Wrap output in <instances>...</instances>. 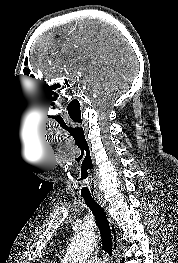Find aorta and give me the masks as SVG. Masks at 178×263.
I'll return each mask as SVG.
<instances>
[{
  "label": "aorta",
  "instance_id": "obj_1",
  "mask_svg": "<svg viewBox=\"0 0 178 263\" xmlns=\"http://www.w3.org/2000/svg\"><path fill=\"white\" fill-rule=\"evenodd\" d=\"M97 236L91 230L83 229L75 234L62 263H86L97 245Z\"/></svg>",
  "mask_w": 178,
  "mask_h": 263
}]
</instances>
